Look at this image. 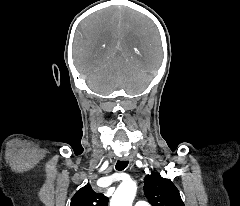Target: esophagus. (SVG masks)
<instances>
[{
    "label": "esophagus",
    "instance_id": "1",
    "mask_svg": "<svg viewBox=\"0 0 240 206\" xmlns=\"http://www.w3.org/2000/svg\"><path fill=\"white\" fill-rule=\"evenodd\" d=\"M120 160L123 162H126V161H131L132 158L131 157H121Z\"/></svg>",
    "mask_w": 240,
    "mask_h": 206
}]
</instances>
